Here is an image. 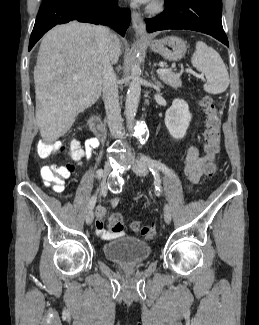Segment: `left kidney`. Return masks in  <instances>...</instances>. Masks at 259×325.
I'll return each mask as SVG.
<instances>
[{
	"label": "left kidney",
	"mask_w": 259,
	"mask_h": 325,
	"mask_svg": "<svg viewBox=\"0 0 259 325\" xmlns=\"http://www.w3.org/2000/svg\"><path fill=\"white\" fill-rule=\"evenodd\" d=\"M192 115L187 102L175 99L172 106L166 111L165 125L170 135L175 139H182L186 135Z\"/></svg>",
	"instance_id": "obj_1"
}]
</instances>
